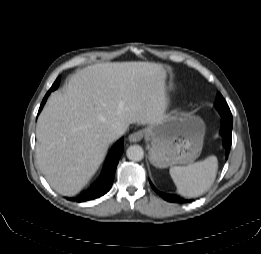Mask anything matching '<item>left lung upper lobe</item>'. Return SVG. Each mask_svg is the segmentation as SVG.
<instances>
[{
	"label": "left lung upper lobe",
	"instance_id": "5c2ea615",
	"mask_svg": "<svg viewBox=\"0 0 261 254\" xmlns=\"http://www.w3.org/2000/svg\"><path fill=\"white\" fill-rule=\"evenodd\" d=\"M217 97H218V100L215 104V107L218 110V112L221 114L231 115L230 109H229L225 99L223 98V96L221 94H218Z\"/></svg>",
	"mask_w": 261,
	"mask_h": 254
}]
</instances>
